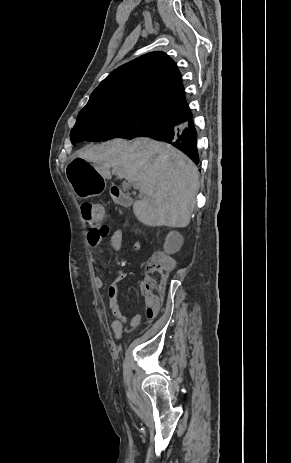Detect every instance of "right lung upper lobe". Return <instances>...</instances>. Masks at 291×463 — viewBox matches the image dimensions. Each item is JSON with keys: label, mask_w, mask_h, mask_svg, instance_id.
Listing matches in <instances>:
<instances>
[{"label": "right lung upper lobe", "mask_w": 291, "mask_h": 463, "mask_svg": "<svg viewBox=\"0 0 291 463\" xmlns=\"http://www.w3.org/2000/svg\"><path fill=\"white\" fill-rule=\"evenodd\" d=\"M135 110L164 119L192 120L181 74L163 52L140 56L110 73L92 92L83 109Z\"/></svg>", "instance_id": "1"}]
</instances>
